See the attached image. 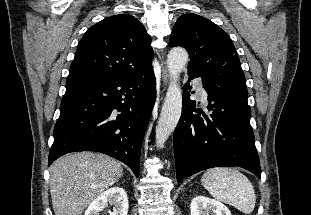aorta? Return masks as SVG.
Wrapping results in <instances>:
<instances>
[{"mask_svg": "<svg viewBox=\"0 0 311 215\" xmlns=\"http://www.w3.org/2000/svg\"><path fill=\"white\" fill-rule=\"evenodd\" d=\"M188 53L184 48L175 47L167 56V68L170 75V84L161 109L158 124L156 126V144L160 148L164 146L169 136L174 131L182 112V91L178 80L182 69L188 62Z\"/></svg>", "mask_w": 311, "mask_h": 215, "instance_id": "762f6f07", "label": "aorta"}]
</instances>
